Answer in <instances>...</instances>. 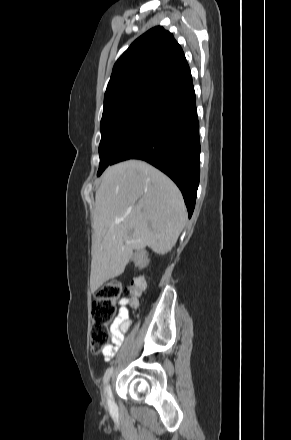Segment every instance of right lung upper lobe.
<instances>
[{"label": "right lung upper lobe", "mask_w": 291, "mask_h": 440, "mask_svg": "<svg viewBox=\"0 0 291 440\" xmlns=\"http://www.w3.org/2000/svg\"><path fill=\"white\" fill-rule=\"evenodd\" d=\"M190 74L173 35L154 27L136 39L115 63L104 105L138 96L156 97Z\"/></svg>", "instance_id": "cb5924a9"}]
</instances>
